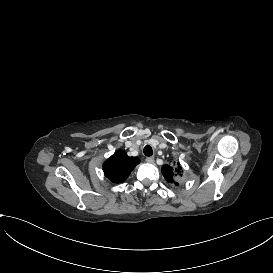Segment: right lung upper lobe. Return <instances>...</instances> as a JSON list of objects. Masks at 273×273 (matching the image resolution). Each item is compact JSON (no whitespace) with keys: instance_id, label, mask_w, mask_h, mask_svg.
Here are the masks:
<instances>
[{"instance_id":"cb5924a9","label":"right lung upper lobe","mask_w":273,"mask_h":273,"mask_svg":"<svg viewBox=\"0 0 273 273\" xmlns=\"http://www.w3.org/2000/svg\"><path fill=\"white\" fill-rule=\"evenodd\" d=\"M139 162L137 157H129L124 151L119 150L103 164V171L110 181L122 183Z\"/></svg>"}]
</instances>
